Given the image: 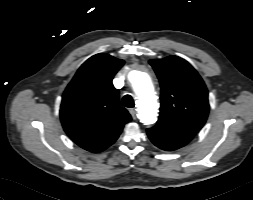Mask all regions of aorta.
I'll return each instance as SVG.
<instances>
[{"label":"aorta","mask_w":253,"mask_h":200,"mask_svg":"<svg viewBox=\"0 0 253 200\" xmlns=\"http://www.w3.org/2000/svg\"><path fill=\"white\" fill-rule=\"evenodd\" d=\"M131 83L137 96L140 121L144 125L155 123L158 116V102L149 74L143 71H135Z\"/></svg>","instance_id":"762f6f07"}]
</instances>
